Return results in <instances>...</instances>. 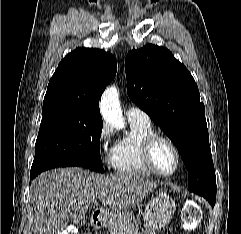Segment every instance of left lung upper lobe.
<instances>
[{
    "label": "left lung upper lobe",
    "instance_id": "obj_1",
    "mask_svg": "<svg viewBox=\"0 0 241 234\" xmlns=\"http://www.w3.org/2000/svg\"><path fill=\"white\" fill-rule=\"evenodd\" d=\"M130 99L172 140L188 170V189L216 201L205 107L194 78L163 47L148 44L125 59Z\"/></svg>",
    "mask_w": 241,
    "mask_h": 234
}]
</instances>
